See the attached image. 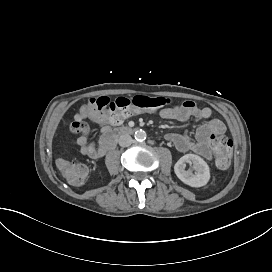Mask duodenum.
Wrapping results in <instances>:
<instances>
[{"label":"duodenum","mask_w":272,"mask_h":272,"mask_svg":"<svg viewBox=\"0 0 272 272\" xmlns=\"http://www.w3.org/2000/svg\"><path fill=\"white\" fill-rule=\"evenodd\" d=\"M133 132L134 129L130 127H119L104 130L99 140L100 155L102 156L109 150L113 149L119 137L131 134Z\"/></svg>","instance_id":"duodenum-1"}]
</instances>
